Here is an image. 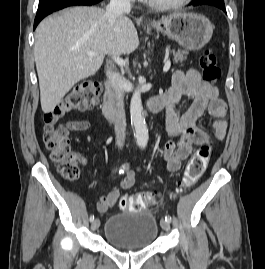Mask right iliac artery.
<instances>
[{
  "instance_id": "right-iliac-artery-1",
  "label": "right iliac artery",
  "mask_w": 265,
  "mask_h": 269,
  "mask_svg": "<svg viewBox=\"0 0 265 269\" xmlns=\"http://www.w3.org/2000/svg\"><path fill=\"white\" fill-rule=\"evenodd\" d=\"M127 168H128V165H127V164L123 165V166L121 167V169L119 170V173H120V174H123L124 171H125ZM93 220H94V215H91V216H90V221L92 222Z\"/></svg>"
}]
</instances>
